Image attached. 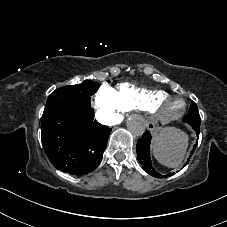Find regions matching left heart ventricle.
I'll return each instance as SVG.
<instances>
[{
    "instance_id": "obj_1",
    "label": "left heart ventricle",
    "mask_w": 227,
    "mask_h": 227,
    "mask_svg": "<svg viewBox=\"0 0 227 227\" xmlns=\"http://www.w3.org/2000/svg\"><path fill=\"white\" fill-rule=\"evenodd\" d=\"M164 106H165V107H169V106H170V103H169V102H166V103L164 104Z\"/></svg>"
}]
</instances>
